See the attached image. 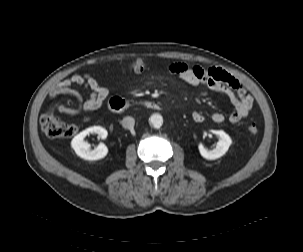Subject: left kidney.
Returning a JSON list of instances; mask_svg holds the SVG:
<instances>
[{
	"label": "left kidney",
	"mask_w": 303,
	"mask_h": 252,
	"mask_svg": "<svg viewBox=\"0 0 303 252\" xmlns=\"http://www.w3.org/2000/svg\"><path fill=\"white\" fill-rule=\"evenodd\" d=\"M212 133L219 136V141L213 150H207L203 145H199V151L202 157L208 160H215L223 156L229 149L232 140L223 130H212Z\"/></svg>",
	"instance_id": "left-kidney-1"
}]
</instances>
